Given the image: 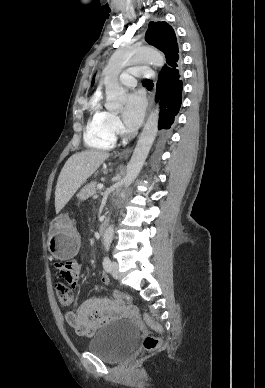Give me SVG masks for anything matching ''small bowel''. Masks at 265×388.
Listing matches in <instances>:
<instances>
[{
  "label": "small bowel",
  "mask_w": 265,
  "mask_h": 388,
  "mask_svg": "<svg viewBox=\"0 0 265 388\" xmlns=\"http://www.w3.org/2000/svg\"><path fill=\"white\" fill-rule=\"evenodd\" d=\"M57 267L71 288L79 285L81 265L76 259L58 263ZM102 281L108 285L109 276L103 274ZM124 310L122 303L111 301L106 297H94L83 302L75 311L67 312L65 319L77 334L92 336L103 325L118 319Z\"/></svg>",
  "instance_id": "small-bowel-1"
}]
</instances>
